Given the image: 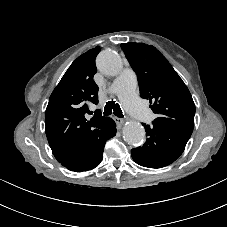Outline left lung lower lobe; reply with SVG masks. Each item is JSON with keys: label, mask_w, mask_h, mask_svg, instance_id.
<instances>
[{"label": "left lung lower lobe", "mask_w": 227, "mask_h": 227, "mask_svg": "<svg viewBox=\"0 0 227 227\" xmlns=\"http://www.w3.org/2000/svg\"><path fill=\"white\" fill-rule=\"evenodd\" d=\"M146 142L131 150L133 160L144 167L161 168L173 163L184 151L189 137L158 124H143Z\"/></svg>", "instance_id": "obj_1"}]
</instances>
